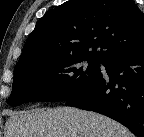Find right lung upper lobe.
I'll list each match as a JSON object with an SVG mask.
<instances>
[{
    "instance_id": "obj_1",
    "label": "right lung upper lobe",
    "mask_w": 144,
    "mask_h": 137,
    "mask_svg": "<svg viewBox=\"0 0 144 137\" xmlns=\"http://www.w3.org/2000/svg\"><path fill=\"white\" fill-rule=\"evenodd\" d=\"M144 46V14L133 0H70L45 13L16 64L69 57L104 63Z\"/></svg>"
}]
</instances>
